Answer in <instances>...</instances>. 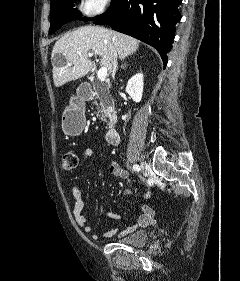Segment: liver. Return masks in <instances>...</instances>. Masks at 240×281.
Instances as JSON below:
<instances>
[{
  "instance_id": "liver-1",
  "label": "liver",
  "mask_w": 240,
  "mask_h": 281,
  "mask_svg": "<svg viewBox=\"0 0 240 281\" xmlns=\"http://www.w3.org/2000/svg\"><path fill=\"white\" fill-rule=\"evenodd\" d=\"M139 43L128 35L91 25L66 33L55 43L51 54L54 85L61 87L84 77L93 67L88 56L91 51L101 57L100 65L111 73L114 55L116 60H122L135 53ZM57 54L64 57L65 65L55 62Z\"/></svg>"
}]
</instances>
